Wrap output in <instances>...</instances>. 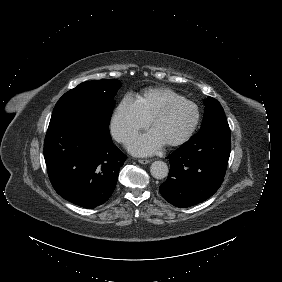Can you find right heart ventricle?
Here are the masks:
<instances>
[{
  "label": "right heart ventricle",
  "mask_w": 282,
  "mask_h": 282,
  "mask_svg": "<svg viewBox=\"0 0 282 282\" xmlns=\"http://www.w3.org/2000/svg\"><path fill=\"white\" fill-rule=\"evenodd\" d=\"M182 99L181 96L174 91L167 88H151L144 91L137 97V103L139 104L145 115L151 120L152 116L159 111L160 106L165 101Z\"/></svg>",
  "instance_id": "obj_1"
}]
</instances>
